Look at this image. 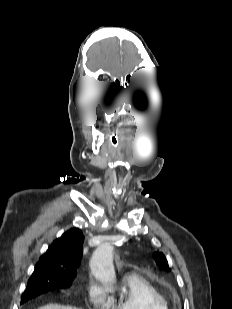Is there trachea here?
I'll return each instance as SVG.
<instances>
[{
    "instance_id": "3493384b",
    "label": "trachea",
    "mask_w": 232,
    "mask_h": 309,
    "mask_svg": "<svg viewBox=\"0 0 232 309\" xmlns=\"http://www.w3.org/2000/svg\"><path fill=\"white\" fill-rule=\"evenodd\" d=\"M109 141H110V144H111L114 148H118V146H119V141H118V138H117L116 134L111 133L110 136H109Z\"/></svg>"
}]
</instances>
